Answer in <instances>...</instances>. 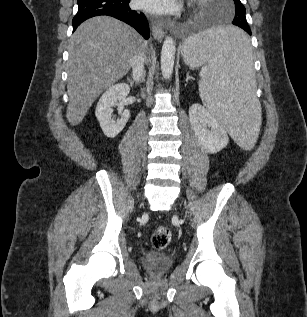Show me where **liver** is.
Instances as JSON below:
<instances>
[{
    "label": "liver",
    "instance_id": "1",
    "mask_svg": "<svg viewBox=\"0 0 307 317\" xmlns=\"http://www.w3.org/2000/svg\"><path fill=\"white\" fill-rule=\"evenodd\" d=\"M142 49L137 31L112 17H93L76 29L68 60L66 117L71 125H78L101 92L129 71Z\"/></svg>",
    "mask_w": 307,
    "mask_h": 317
}]
</instances>
